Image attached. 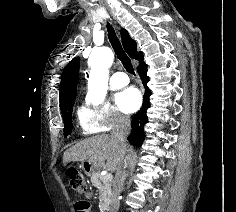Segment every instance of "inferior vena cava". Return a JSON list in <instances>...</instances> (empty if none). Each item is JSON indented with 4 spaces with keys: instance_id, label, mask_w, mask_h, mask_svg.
I'll list each match as a JSON object with an SVG mask.
<instances>
[{
    "instance_id": "602c4592",
    "label": "inferior vena cava",
    "mask_w": 236,
    "mask_h": 212,
    "mask_svg": "<svg viewBox=\"0 0 236 212\" xmlns=\"http://www.w3.org/2000/svg\"><path fill=\"white\" fill-rule=\"evenodd\" d=\"M131 131L130 118L128 116L120 115L116 119L111 135L116 138L120 144L124 147V156L121 164L119 165L116 176L113 181V195H112V212H116L119 207V194L126 178V138Z\"/></svg>"
}]
</instances>
